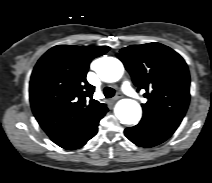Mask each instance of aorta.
Segmentation results:
<instances>
[{
    "label": "aorta",
    "mask_w": 212,
    "mask_h": 183,
    "mask_svg": "<svg viewBox=\"0 0 212 183\" xmlns=\"http://www.w3.org/2000/svg\"><path fill=\"white\" fill-rule=\"evenodd\" d=\"M124 72L123 64L116 58L105 57L99 60L97 73L105 82L118 81ZM115 115L123 124H137L141 118L140 105L132 99L120 100L115 107Z\"/></svg>",
    "instance_id": "1"
}]
</instances>
